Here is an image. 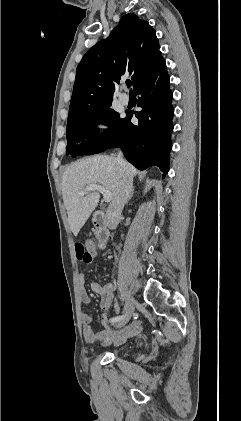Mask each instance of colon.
Listing matches in <instances>:
<instances>
[{
  "label": "colon",
  "instance_id": "obj_1",
  "mask_svg": "<svg viewBox=\"0 0 241 421\" xmlns=\"http://www.w3.org/2000/svg\"><path fill=\"white\" fill-rule=\"evenodd\" d=\"M76 257L79 261L90 264L93 261L95 246L92 241H87L85 243L78 242L75 244Z\"/></svg>",
  "mask_w": 241,
  "mask_h": 421
}]
</instances>
